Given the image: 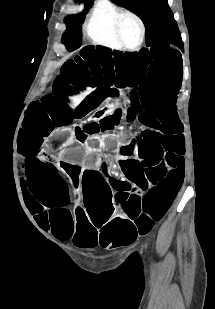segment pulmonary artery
I'll use <instances>...</instances> for the list:
<instances>
[{"mask_svg": "<svg viewBox=\"0 0 215 309\" xmlns=\"http://www.w3.org/2000/svg\"><path fill=\"white\" fill-rule=\"evenodd\" d=\"M102 2H104V3H100L99 9L96 10V15L97 16H102L103 15V11H105L106 8H110L111 7V2L110 1L102 0Z\"/></svg>", "mask_w": 215, "mask_h": 309, "instance_id": "pulmonary-artery-1", "label": "pulmonary artery"}]
</instances>
